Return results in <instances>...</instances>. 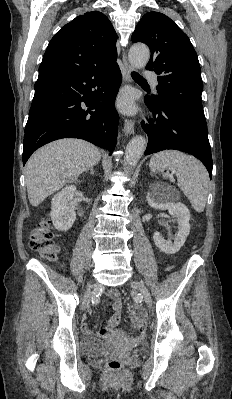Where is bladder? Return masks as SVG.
<instances>
[{
  "mask_svg": "<svg viewBox=\"0 0 232 399\" xmlns=\"http://www.w3.org/2000/svg\"><path fill=\"white\" fill-rule=\"evenodd\" d=\"M116 350V347L97 338L85 337L80 342V352L86 357L97 358Z\"/></svg>",
  "mask_w": 232,
  "mask_h": 399,
  "instance_id": "obj_1",
  "label": "bladder"
}]
</instances>
